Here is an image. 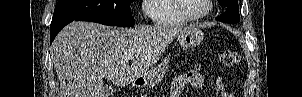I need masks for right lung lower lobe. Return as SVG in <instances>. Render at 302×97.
I'll list each match as a JSON object with an SVG mask.
<instances>
[{"label": "right lung lower lobe", "mask_w": 302, "mask_h": 97, "mask_svg": "<svg viewBox=\"0 0 302 97\" xmlns=\"http://www.w3.org/2000/svg\"><path fill=\"white\" fill-rule=\"evenodd\" d=\"M72 21H66L60 24H57L55 26H50V44L52 43V41L54 40L55 36L58 34V32L67 24H69ZM98 23V22H97ZM100 24H104V25H109V26H114V25H110L107 23H100Z\"/></svg>", "instance_id": "obj_1"}]
</instances>
